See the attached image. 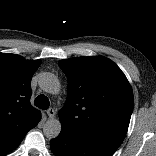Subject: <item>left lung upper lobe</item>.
<instances>
[{"label": "left lung upper lobe", "mask_w": 156, "mask_h": 156, "mask_svg": "<svg viewBox=\"0 0 156 156\" xmlns=\"http://www.w3.org/2000/svg\"><path fill=\"white\" fill-rule=\"evenodd\" d=\"M68 79L62 128L118 149L133 111L132 88L121 69L103 56L59 61Z\"/></svg>", "instance_id": "5c2ea615"}]
</instances>
